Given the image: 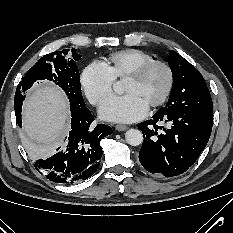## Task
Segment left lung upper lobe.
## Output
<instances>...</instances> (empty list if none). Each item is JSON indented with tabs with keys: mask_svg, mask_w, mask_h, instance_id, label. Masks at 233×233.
<instances>
[{
	"mask_svg": "<svg viewBox=\"0 0 233 233\" xmlns=\"http://www.w3.org/2000/svg\"><path fill=\"white\" fill-rule=\"evenodd\" d=\"M167 61L173 74V86L165 107L212 116L211 95L201 73L173 50L170 51Z\"/></svg>",
	"mask_w": 233,
	"mask_h": 233,
	"instance_id": "5c2ea615",
	"label": "left lung upper lobe"
}]
</instances>
